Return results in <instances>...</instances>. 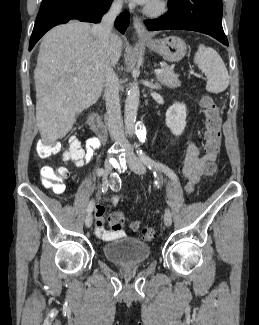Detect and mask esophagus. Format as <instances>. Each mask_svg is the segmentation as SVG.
I'll return each instance as SVG.
<instances>
[{
  "label": "esophagus",
  "mask_w": 259,
  "mask_h": 325,
  "mask_svg": "<svg viewBox=\"0 0 259 325\" xmlns=\"http://www.w3.org/2000/svg\"><path fill=\"white\" fill-rule=\"evenodd\" d=\"M133 28L135 29L139 37L150 39V35L147 32L142 20L137 16L133 17Z\"/></svg>",
  "instance_id": "esophagus-1"
}]
</instances>
